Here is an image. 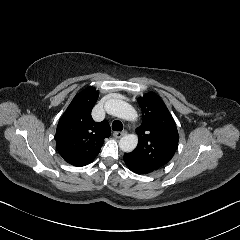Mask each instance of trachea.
Returning a JSON list of instances; mask_svg holds the SVG:
<instances>
[{"label":"trachea","mask_w":240,"mask_h":240,"mask_svg":"<svg viewBox=\"0 0 240 240\" xmlns=\"http://www.w3.org/2000/svg\"><path fill=\"white\" fill-rule=\"evenodd\" d=\"M122 129H123L122 122L119 120H114V122L112 123V130L113 131H122Z\"/></svg>","instance_id":"3493384b"}]
</instances>
